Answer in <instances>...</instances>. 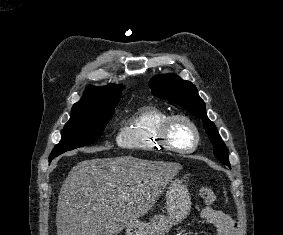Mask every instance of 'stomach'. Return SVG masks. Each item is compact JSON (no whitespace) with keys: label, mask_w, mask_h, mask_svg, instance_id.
<instances>
[{"label":"stomach","mask_w":283,"mask_h":235,"mask_svg":"<svg viewBox=\"0 0 283 235\" xmlns=\"http://www.w3.org/2000/svg\"><path fill=\"white\" fill-rule=\"evenodd\" d=\"M166 214L149 222L135 221L126 226V235H165L173 225L184 220L191 210V197L179 178L170 179L166 190Z\"/></svg>","instance_id":"obj_1"}]
</instances>
